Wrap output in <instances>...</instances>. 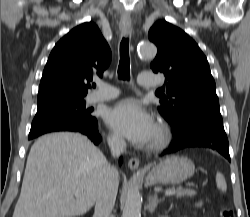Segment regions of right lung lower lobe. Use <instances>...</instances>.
I'll use <instances>...</instances> for the list:
<instances>
[{"mask_svg":"<svg viewBox=\"0 0 250 217\" xmlns=\"http://www.w3.org/2000/svg\"><path fill=\"white\" fill-rule=\"evenodd\" d=\"M76 132H80L82 134L87 135L95 144H98L101 141V136L98 133L97 123L92 128L85 130V129H79L76 130ZM120 164L122 163V159L119 160Z\"/></svg>","mask_w":250,"mask_h":217,"instance_id":"98d812e1","label":"right lung lower lobe"}]
</instances>
